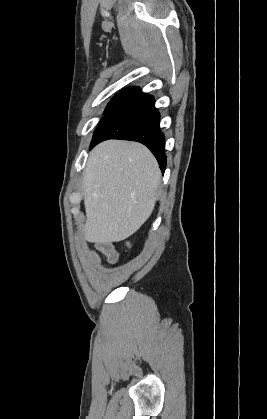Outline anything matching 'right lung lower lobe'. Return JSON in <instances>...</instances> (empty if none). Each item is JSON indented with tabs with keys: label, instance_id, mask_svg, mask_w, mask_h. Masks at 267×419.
<instances>
[{
	"label": "right lung lower lobe",
	"instance_id": "right-lung-lower-lobe-1",
	"mask_svg": "<svg viewBox=\"0 0 267 419\" xmlns=\"http://www.w3.org/2000/svg\"><path fill=\"white\" fill-rule=\"evenodd\" d=\"M151 95L139 88L115 105L97 127L90 149L107 139H123L146 145L162 172L166 168L165 137L159 129L160 115Z\"/></svg>",
	"mask_w": 267,
	"mask_h": 419
}]
</instances>
